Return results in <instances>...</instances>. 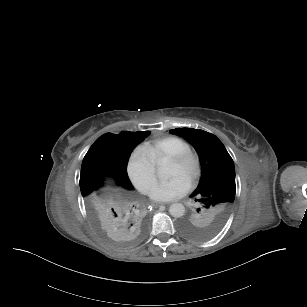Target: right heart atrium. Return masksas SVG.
<instances>
[{"label":"right heart atrium","mask_w":307,"mask_h":307,"mask_svg":"<svg viewBox=\"0 0 307 307\" xmlns=\"http://www.w3.org/2000/svg\"><path fill=\"white\" fill-rule=\"evenodd\" d=\"M155 155L148 153L143 144L136 145L129 153L126 170L130 181L146 191L155 177Z\"/></svg>","instance_id":"d8ad5b80"}]
</instances>
